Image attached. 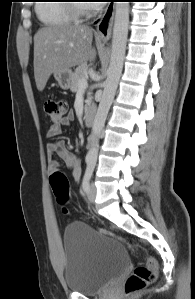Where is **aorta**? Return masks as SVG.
Listing matches in <instances>:
<instances>
[{"mask_svg": "<svg viewBox=\"0 0 195 299\" xmlns=\"http://www.w3.org/2000/svg\"><path fill=\"white\" fill-rule=\"evenodd\" d=\"M128 26L129 2H116L112 38V53L110 64L107 70V79L104 84L102 98L92 125V142L86 156V160L88 162H96L97 160L99 135L104 128L105 121L111 104L114 100L123 69L128 36Z\"/></svg>", "mask_w": 195, "mask_h": 299, "instance_id": "aorta-1", "label": "aorta"}]
</instances>
